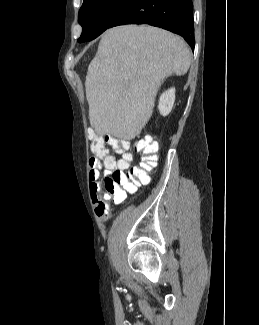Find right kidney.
I'll use <instances>...</instances> for the list:
<instances>
[{"mask_svg":"<svg viewBox=\"0 0 259 325\" xmlns=\"http://www.w3.org/2000/svg\"><path fill=\"white\" fill-rule=\"evenodd\" d=\"M175 101V88L168 89L165 91L159 99V105L158 109L160 111V114L163 116H167L174 105Z\"/></svg>","mask_w":259,"mask_h":325,"instance_id":"ca27d5eb","label":"right kidney"}]
</instances>
